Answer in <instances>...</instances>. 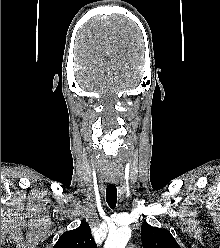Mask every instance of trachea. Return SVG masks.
<instances>
[{
	"label": "trachea",
	"instance_id": "obj_1",
	"mask_svg": "<svg viewBox=\"0 0 220 248\" xmlns=\"http://www.w3.org/2000/svg\"><path fill=\"white\" fill-rule=\"evenodd\" d=\"M106 201L110 208L114 209L117 204V188L115 185L110 184L106 188Z\"/></svg>",
	"mask_w": 220,
	"mask_h": 248
}]
</instances>
